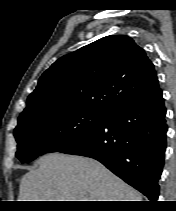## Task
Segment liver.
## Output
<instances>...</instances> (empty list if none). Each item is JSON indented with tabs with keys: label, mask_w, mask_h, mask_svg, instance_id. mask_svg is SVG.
<instances>
[{
	"label": "liver",
	"mask_w": 176,
	"mask_h": 211,
	"mask_svg": "<svg viewBox=\"0 0 176 211\" xmlns=\"http://www.w3.org/2000/svg\"><path fill=\"white\" fill-rule=\"evenodd\" d=\"M26 173L18 201H141V195L100 162L58 152Z\"/></svg>",
	"instance_id": "6515ba94"
}]
</instances>
